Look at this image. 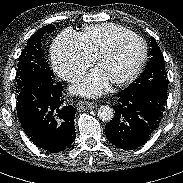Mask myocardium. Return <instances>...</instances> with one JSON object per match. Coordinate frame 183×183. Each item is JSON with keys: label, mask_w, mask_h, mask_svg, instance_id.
Masks as SVG:
<instances>
[{"label": "myocardium", "mask_w": 183, "mask_h": 183, "mask_svg": "<svg viewBox=\"0 0 183 183\" xmlns=\"http://www.w3.org/2000/svg\"><path fill=\"white\" fill-rule=\"evenodd\" d=\"M131 40L139 41L142 44L143 50H142L141 57L138 63L136 64V66L134 67V69L128 75L111 82L114 86L119 87V86L128 85L131 82H133L141 73L145 65V62L147 60V54H148L147 44L144 41V39L135 34L119 38L115 42H113L109 47H107L102 52H100L95 59V63L98 66L104 59L113 55L122 44Z\"/></svg>", "instance_id": "1"}]
</instances>
